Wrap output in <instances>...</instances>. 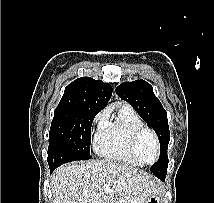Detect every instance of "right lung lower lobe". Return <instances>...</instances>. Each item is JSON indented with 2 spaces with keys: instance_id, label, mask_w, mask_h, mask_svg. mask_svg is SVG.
<instances>
[{
  "instance_id": "98d812e1",
  "label": "right lung lower lobe",
  "mask_w": 214,
  "mask_h": 203,
  "mask_svg": "<svg viewBox=\"0 0 214 203\" xmlns=\"http://www.w3.org/2000/svg\"><path fill=\"white\" fill-rule=\"evenodd\" d=\"M50 167V172H52L56 167L49 166Z\"/></svg>"
}]
</instances>
